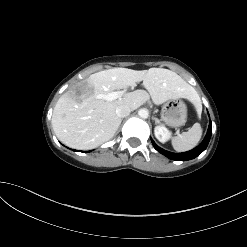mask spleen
Listing matches in <instances>:
<instances>
[{
	"label": "spleen",
	"mask_w": 247,
	"mask_h": 247,
	"mask_svg": "<svg viewBox=\"0 0 247 247\" xmlns=\"http://www.w3.org/2000/svg\"><path fill=\"white\" fill-rule=\"evenodd\" d=\"M198 115L201 114L202 105L200 99L193 102ZM202 136V128L199 123H195L187 132H183L172 138V146L177 152H185L193 149Z\"/></svg>",
	"instance_id": "3e777b00"
}]
</instances>
